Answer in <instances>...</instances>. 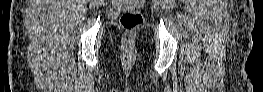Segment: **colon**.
Listing matches in <instances>:
<instances>
[{
  "instance_id": "1",
  "label": "colon",
  "mask_w": 263,
  "mask_h": 92,
  "mask_svg": "<svg viewBox=\"0 0 263 92\" xmlns=\"http://www.w3.org/2000/svg\"><path fill=\"white\" fill-rule=\"evenodd\" d=\"M138 3H143V0H137ZM143 22V16L138 10L125 11L120 17L121 26L126 31H133Z\"/></svg>"
}]
</instances>
